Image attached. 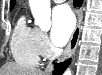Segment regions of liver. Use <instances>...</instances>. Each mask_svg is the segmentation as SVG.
<instances>
[{
	"label": "liver",
	"instance_id": "1",
	"mask_svg": "<svg viewBox=\"0 0 102 75\" xmlns=\"http://www.w3.org/2000/svg\"><path fill=\"white\" fill-rule=\"evenodd\" d=\"M0 75H45V73L36 68H27L16 63H6L0 68Z\"/></svg>",
	"mask_w": 102,
	"mask_h": 75
}]
</instances>
